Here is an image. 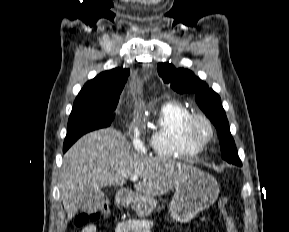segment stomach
Instances as JSON below:
<instances>
[{"label": "stomach", "mask_w": 289, "mask_h": 232, "mask_svg": "<svg viewBox=\"0 0 289 232\" xmlns=\"http://www.w3.org/2000/svg\"><path fill=\"white\" fill-rule=\"evenodd\" d=\"M217 181L197 168H193L177 187L169 204L173 220L180 223L191 221L200 211L209 208L217 200ZM116 199L123 205H130L140 218L147 217L155 207L153 197L137 195L128 191L117 193Z\"/></svg>", "instance_id": "obj_1"}]
</instances>
